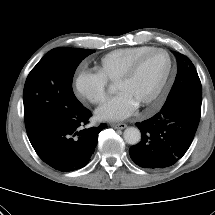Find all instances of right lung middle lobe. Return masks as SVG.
Listing matches in <instances>:
<instances>
[{
	"label": "right lung middle lobe",
	"mask_w": 215,
	"mask_h": 215,
	"mask_svg": "<svg viewBox=\"0 0 215 215\" xmlns=\"http://www.w3.org/2000/svg\"><path fill=\"white\" fill-rule=\"evenodd\" d=\"M95 50L61 47L49 51L29 73L23 92L28 136L83 105L72 90L80 62Z\"/></svg>",
	"instance_id": "right-lung-middle-lobe-1"
}]
</instances>
